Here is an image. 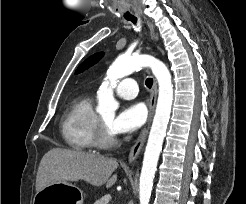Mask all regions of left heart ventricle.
Here are the masks:
<instances>
[{
    "instance_id": "obj_1",
    "label": "left heart ventricle",
    "mask_w": 246,
    "mask_h": 204,
    "mask_svg": "<svg viewBox=\"0 0 246 204\" xmlns=\"http://www.w3.org/2000/svg\"><path fill=\"white\" fill-rule=\"evenodd\" d=\"M105 124L111 129V123L113 121V116L112 115H103L101 116Z\"/></svg>"
}]
</instances>
